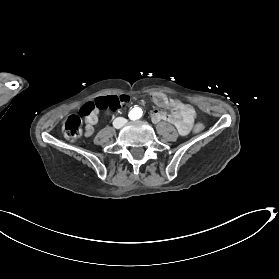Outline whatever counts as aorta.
<instances>
[{
    "label": "aorta",
    "mask_w": 279,
    "mask_h": 279,
    "mask_svg": "<svg viewBox=\"0 0 279 279\" xmlns=\"http://www.w3.org/2000/svg\"><path fill=\"white\" fill-rule=\"evenodd\" d=\"M141 115H142V110L139 107L133 108L129 113L131 119H138L141 117Z\"/></svg>",
    "instance_id": "aorta-1"
}]
</instances>
